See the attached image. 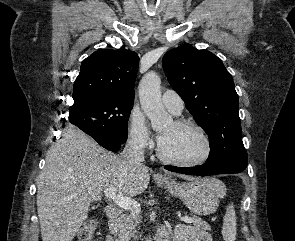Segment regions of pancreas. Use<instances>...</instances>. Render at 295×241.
<instances>
[{
  "instance_id": "obj_1",
  "label": "pancreas",
  "mask_w": 295,
  "mask_h": 241,
  "mask_svg": "<svg viewBox=\"0 0 295 241\" xmlns=\"http://www.w3.org/2000/svg\"><path fill=\"white\" fill-rule=\"evenodd\" d=\"M192 220L194 226L197 228L209 231L211 230L210 225L201 218L193 216ZM139 222L140 219L137 215L123 214L118 219L114 220L110 226L113 233L119 235L121 238H124L125 241H129L130 238L136 237V227L138 226Z\"/></svg>"
}]
</instances>
